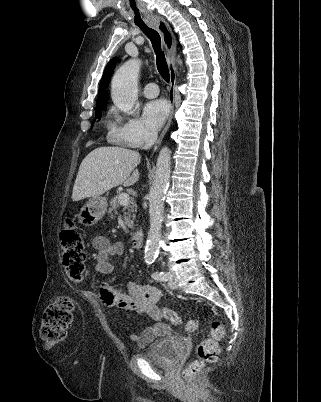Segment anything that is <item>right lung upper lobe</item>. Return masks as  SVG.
Returning <instances> with one entry per match:
<instances>
[{"instance_id": "1", "label": "right lung upper lobe", "mask_w": 321, "mask_h": 402, "mask_svg": "<svg viewBox=\"0 0 321 402\" xmlns=\"http://www.w3.org/2000/svg\"><path fill=\"white\" fill-rule=\"evenodd\" d=\"M116 64V58H113L109 61L107 66L105 67L101 82H100V87H99V92H98V99L96 101L97 107H103L107 106V88L109 85V80L112 75V72L115 68Z\"/></svg>"}]
</instances>
